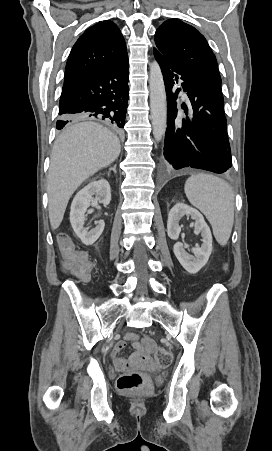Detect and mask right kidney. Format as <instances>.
I'll return each instance as SVG.
<instances>
[{
    "label": "right kidney",
    "mask_w": 272,
    "mask_h": 451,
    "mask_svg": "<svg viewBox=\"0 0 272 451\" xmlns=\"http://www.w3.org/2000/svg\"><path fill=\"white\" fill-rule=\"evenodd\" d=\"M93 196H96V198H93ZM91 202H100V204H104V206L110 204L111 190L107 180L90 182L88 186H85L83 190H80V192L76 194L71 204L70 224L76 235L80 237L85 245H92V243L98 239L99 235H101L105 227V222H103V220L95 222V227H92L90 231H88V227H84L86 220L85 212L87 208L91 206ZM97 208H99V206H97Z\"/></svg>",
    "instance_id": "1"
}]
</instances>
